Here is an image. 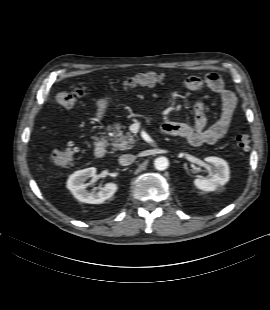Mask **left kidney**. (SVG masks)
<instances>
[{"label":"left kidney","mask_w":270,"mask_h":310,"mask_svg":"<svg viewBox=\"0 0 270 310\" xmlns=\"http://www.w3.org/2000/svg\"><path fill=\"white\" fill-rule=\"evenodd\" d=\"M207 163H210L214 166V174L206 178H197L194 180V185L203 191H221L222 187L229 181L230 172L227 162L218 157H207L205 158Z\"/></svg>","instance_id":"1"}]
</instances>
